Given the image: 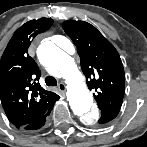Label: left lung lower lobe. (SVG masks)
<instances>
[{"mask_svg": "<svg viewBox=\"0 0 147 147\" xmlns=\"http://www.w3.org/2000/svg\"><path fill=\"white\" fill-rule=\"evenodd\" d=\"M119 110H120L119 108H113V109L101 111V117L98 122L100 124L108 123L117 116Z\"/></svg>", "mask_w": 147, "mask_h": 147, "instance_id": "obj_1", "label": "left lung lower lobe"}]
</instances>
